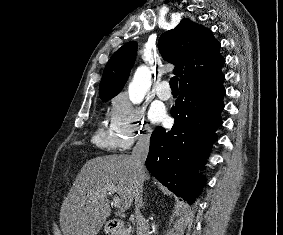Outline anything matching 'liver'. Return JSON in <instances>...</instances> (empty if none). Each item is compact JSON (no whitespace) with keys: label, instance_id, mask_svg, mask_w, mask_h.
Here are the masks:
<instances>
[{"label":"liver","instance_id":"1","mask_svg":"<svg viewBox=\"0 0 283 235\" xmlns=\"http://www.w3.org/2000/svg\"><path fill=\"white\" fill-rule=\"evenodd\" d=\"M149 176L145 173V179ZM113 185L122 207H131L135 193V167L127 154L106 155L87 161L77 175L60 210L64 235H97L110 216L106 187Z\"/></svg>","mask_w":283,"mask_h":235}]
</instances>
